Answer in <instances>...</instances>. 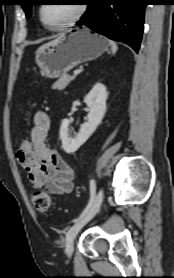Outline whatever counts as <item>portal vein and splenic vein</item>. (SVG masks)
Wrapping results in <instances>:
<instances>
[{
  "label": "portal vein and splenic vein",
  "mask_w": 174,
  "mask_h": 278,
  "mask_svg": "<svg viewBox=\"0 0 174 278\" xmlns=\"http://www.w3.org/2000/svg\"><path fill=\"white\" fill-rule=\"evenodd\" d=\"M73 74H74V76H76V75L79 74V71L78 70H74Z\"/></svg>",
  "instance_id": "obj_1"
}]
</instances>
